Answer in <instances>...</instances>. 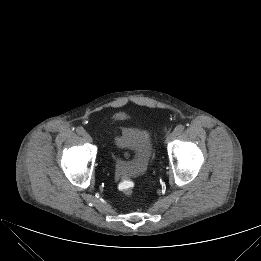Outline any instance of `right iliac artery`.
Returning a JSON list of instances; mask_svg holds the SVG:
<instances>
[{
  "mask_svg": "<svg viewBox=\"0 0 261 261\" xmlns=\"http://www.w3.org/2000/svg\"><path fill=\"white\" fill-rule=\"evenodd\" d=\"M76 132L79 134V135H83L85 133V130L83 127H77L76 128Z\"/></svg>",
  "mask_w": 261,
  "mask_h": 261,
  "instance_id": "right-iliac-artery-1",
  "label": "right iliac artery"
}]
</instances>
